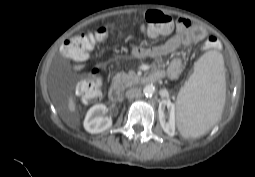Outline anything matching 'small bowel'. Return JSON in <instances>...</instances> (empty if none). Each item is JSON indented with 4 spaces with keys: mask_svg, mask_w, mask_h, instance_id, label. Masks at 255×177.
<instances>
[{
    "mask_svg": "<svg viewBox=\"0 0 255 177\" xmlns=\"http://www.w3.org/2000/svg\"><path fill=\"white\" fill-rule=\"evenodd\" d=\"M171 31V30H170ZM170 31L164 33L169 34ZM205 37V31L198 26H194L188 19L179 18L174 33L162 44L144 48L134 47L131 49L130 56L132 58H150L158 60L163 56L174 53L181 46L189 45L195 41H200ZM213 44H216V39H212ZM183 70L182 60L175 57L170 62L167 68V77L170 80H176L179 78Z\"/></svg>",
    "mask_w": 255,
    "mask_h": 177,
    "instance_id": "c3829d8e",
    "label": "small bowel"
}]
</instances>
